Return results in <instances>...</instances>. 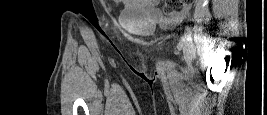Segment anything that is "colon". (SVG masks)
<instances>
[{
  "label": "colon",
  "mask_w": 267,
  "mask_h": 115,
  "mask_svg": "<svg viewBox=\"0 0 267 115\" xmlns=\"http://www.w3.org/2000/svg\"><path fill=\"white\" fill-rule=\"evenodd\" d=\"M191 3V0H166L163 11L166 15H172L184 9Z\"/></svg>",
  "instance_id": "5ec220e1"
}]
</instances>
